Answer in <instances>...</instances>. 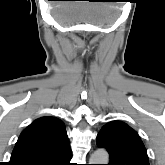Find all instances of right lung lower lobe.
Listing matches in <instances>:
<instances>
[{
  "label": "right lung lower lobe",
  "mask_w": 165,
  "mask_h": 165,
  "mask_svg": "<svg viewBox=\"0 0 165 165\" xmlns=\"http://www.w3.org/2000/svg\"><path fill=\"white\" fill-rule=\"evenodd\" d=\"M70 159L71 150L69 142H67L64 143L52 157L39 165H71Z\"/></svg>",
  "instance_id": "98d812e1"
}]
</instances>
